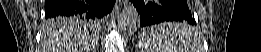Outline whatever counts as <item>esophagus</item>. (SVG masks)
Instances as JSON below:
<instances>
[{"instance_id":"34e87169","label":"esophagus","mask_w":261,"mask_h":52,"mask_svg":"<svg viewBox=\"0 0 261 52\" xmlns=\"http://www.w3.org/2000/svg\"><path fill=\"white\" fill-rule=\"evenodd\" d=\"M127 2H128L127 0L123 1L124 4H126Z\"/></svg>"}]
</instances>
